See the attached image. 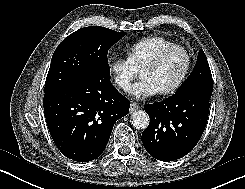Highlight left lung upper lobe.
Here are the masks:
<instances>
[{
    "label": "left lung upper lobe",
    "mask_w": 245,
    "mask_h": 189,
    "mask_svg": "<svg viewBox=\"0 0 245 189\" xmlns=\"http://www.w3.org/2000/svg\"><path fill=\"white\" fill-rule=\"evenodd\" d=\"M188 90H200L212 94L213 84L210 67L203 50H199L193 72L176 93Z\"/></svg>",
    "instance_id": "obj_1"
}]
</instances>
